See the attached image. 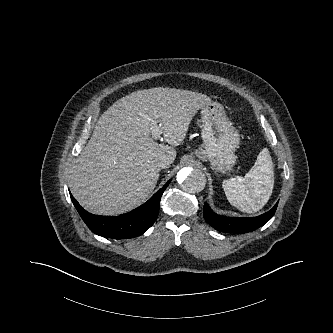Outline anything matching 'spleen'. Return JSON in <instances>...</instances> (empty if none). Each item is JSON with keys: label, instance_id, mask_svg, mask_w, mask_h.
<instances>
[{"label": "spleen", "instance_id": "1", "mask_svg": "<svg viewBox=\"0 0 333 333\" xmlns=\"http://www.w3.org/2000/svg\"><path fill=\"white\" fill-rule=\"evenodd\" d=\"M273 162L264 148L244 178L224 180L222 187L231 205L246 213L257 212L269 201L274 186Z\"/></svg>", "mask_w": 333, "mask_h": 333}]
</instances>
